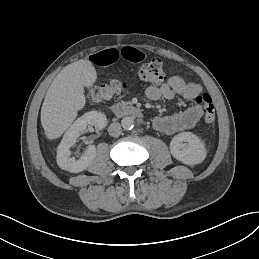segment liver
I'll return each mask as SVG.
<instances>
[{"instance_id":"1","label":"liver","mask_w":259,"mask_h":259,"mask_svg":"<svg viewBox=\"0 0 259 259\" xmlns=\"http://www.w3.org/2000/svg\"><path fill=\"white\" fill-rule=\"evenodd\" d=\"M98 79L90 60L80 59L67 65L49 86L41 107L40 120L49 142L62 137L87 102L85 88H92Z\"/></svg>"}]
</instances>
